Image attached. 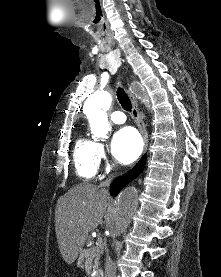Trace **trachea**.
<instances>
[{
    "instance_id": "3493384b",
    "label": "trachea",
    "mask_w": 221,
    "mask_h": 277,
    "mask_svg": "<svg viewBox=\"0 0 221 277\" xmlns=\"http://www.w3.org/2000/svg\"><path fill=\"white\" fill-rule=\"evenodd\" d=\"M117 98L121 106L126 111H131V108H132L131 101L122 87H118L117 89Z\"/></svg>"
}]
</instances>
